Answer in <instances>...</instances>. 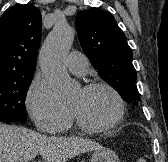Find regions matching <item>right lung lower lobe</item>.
<instances>
[{
  "mask_svg": "<svg viewBox=\"0 0 168 162\" xmlns=\"http://www.w3.org/2000/svg\"><path fill=\"white\" fill-rule=\"evenodd\" d=\"M1 122H5V123H10V121H4V120H0Z\"/></svg>",
  "mask_w": 168,
  "mask_h": 162,
  "instance_id": "obj_1",
  "label": "right lung lower lobe"
}]
</instances>
